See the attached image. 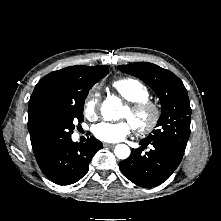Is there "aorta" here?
Masks as SVG:
<instances>
[{
	"instance_id": "aorta-1",
	"label": "aorta",
	"mask_w": 221,
	"mask_h": 221,
	"mask_svg": "<svg viewBox=\"0 0 221 221\" xmlns=\"http://www.w3.org/2000/svg\"><path fill=\"white\" fill-rule=\"evenodd\" d=\"M123 106L121 100L117 97H107L102 103L101 114L105 120H117L120 118V111ZM114 153L119 159H127L130 155V148L126 144H118L115 147Z\"/></svg>"
}]
</instances>
